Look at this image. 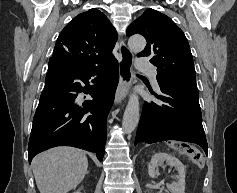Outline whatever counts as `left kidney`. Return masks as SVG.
Returning <instances> with one entry per match:
<instances>
[{
	"mask_svg": "<svg viewBox=\"0 0 237 193\" xmlns=\"http://www.w3.org/2000/svg\"><path fill=\"white\" fill-rule=\"evenodd\" d=\"M164 161H166L170 166L175 167L178 171L179 175L177 176V181L172 184L167 185V189L171 191V193H185V166L182 164L180 160L176 157L171 156L164 152H159L152 156L151 162L148 165V173L149 176L154 178L157 176V167L161 166ZM158 193H163L160 190Z\"/></svg>",
	"mask_w": 237,
	"mask_h": 193,
	"instance_id": "obj_1",
	"label": "left kidney"
}]
</instances>
